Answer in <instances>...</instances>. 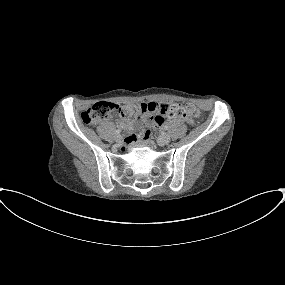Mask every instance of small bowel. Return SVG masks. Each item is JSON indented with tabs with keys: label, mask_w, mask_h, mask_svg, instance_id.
Listing matches in <instances>:
<instances>
[{
	"label": "small bowel",
	"mask_w": 285,
	"mask_h": 285,
	"mask_svg": "<svg viewBox=\"0 0 285 285\" xmlns=\"http://www.w3.org/2000/svg\"><path fill=\"white\" fill-rule=\"evenodd\" d=\"M147 108V113L145 117H141L139 119L133 120L131 122H121L120 127L125 130H132L134 128H140L143 126L145 122V118L150 121V123L156 127L161 126L165 122L166 113L170 104L164 102H155L149 101L146 103H142ZM178 123L185 121L189 124H192L193 121L190 118H176L175 119ZM144 137H148V132H143Z\"/></svg>",
	"instance_id": "c3829d8e"
}]
</instances>
